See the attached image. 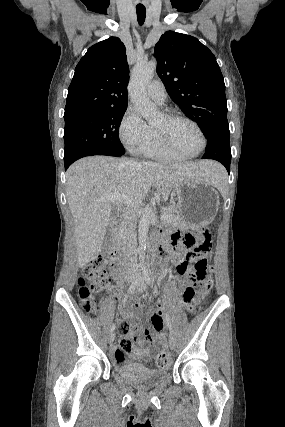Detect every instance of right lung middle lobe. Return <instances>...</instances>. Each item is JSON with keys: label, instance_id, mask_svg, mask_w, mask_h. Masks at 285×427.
Instances as JSON below:
<instances>
[{"label": "right lung middle lobe", "instance_id": "1", "mask_svg": "<svg viewBox=\"0 0 285 427\" xmlns=\"http://www.w3.org/2000/svg\"><path fill=\"white\" fill-rule=\"evenodd\" d=\"M127 108H116L65 119L64 164L92 155L121 156L119 127Z\"/></svg>", "mask_w": 285, "mask_h": 427}]
</instances>
